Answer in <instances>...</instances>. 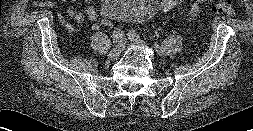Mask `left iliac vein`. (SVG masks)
I'll list each match as a JSON object with an SVG mask.
<instances>
[{
  "label": "left iliac vein",
  "instance_id": "obj_1",
  "mask_svg": "<svg viewBox=\"0 0 253 131\" xmlns=\"http://www.w3.org/2000/svg\"><path fill=\"white\" fill-rule=\"evenodd\" d=\"M128 38H129L132 42H134V43H136V44H138V45L145 46V41H144L142 38H135V37H132V36H128Z\"/></svg>",
  "mask_w": 253,
  "mask_h": 131
}]
</instances>
